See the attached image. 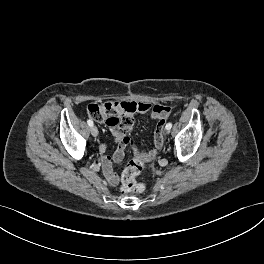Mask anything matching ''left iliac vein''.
Here are the masks:
<instances>
[{"label": "left iliac vein", "mask_w": 264, "mask_h": 264, "mask_svg": "<svg viewBox=\"0 0 264 264\" xmlns=\"http://www.w3.org/2000/svg\"><path fill=\"white\" fill-rule=\"evenodd\" d=\"M166 133H167V134L170 133V129H166Z\"/></svg>", "instance_id": "1"}]
</instances>
